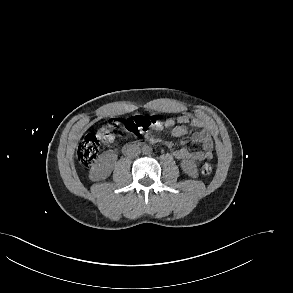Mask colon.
I'll use <instances>...</instances> for the list:
<instances>
[{
	"label": "colon",
	"instance_id": "5ec220e1",
	"mask_svg": "<svg viewBox=\"0 0 293 293\" xmlns=\"http://www.w3.org/2000/svg\"><path fill=\"white\" fill-rule=\"evenodd\" d=\"M159 120L154 115H134L125 120L122 129L115 135L113 132L117 128L116 120H108L105 126L97 134H87L78 149V157L82 164L89 166L98 157L101 146L104 144H114L118 139L125 136H140L141 134L156 128ZM213 170L211 164H204L201 172L209 175Z\"/></svg>",
	"mask_w": 293,
	"mask_h": 293
}]
</instances>
